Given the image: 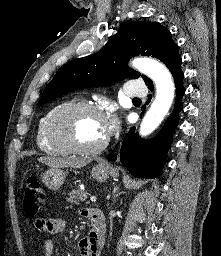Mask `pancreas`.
<instances>
[{
	"mask_svg": "<svg viewBox=\"0 0 221 256\" xmlns=\"http://www.w3.org/2000/svg\"><path fill=\"white\" fill-rule=\"evenodd\" d=\"M70 203L79 205L80 203L87 204V193L85 191H81L80 189L73 190L69 193V197L67 199Z\"/></svg>",
	"mask_w": 221,
	"mask_h": 256,
	"instance_id": "cf45deb5",
	"label": "pancreas"
}]
</instances>
